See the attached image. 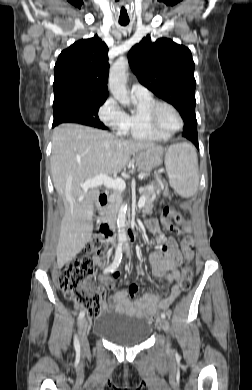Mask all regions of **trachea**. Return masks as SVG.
Returning <instances> with one entry per match:
<instances>
[{"label": "trachea", "mask_w": 252, "mask_h": 390, "mask_svg": "<svg viewBox=\"0 0 252 390\" xmlns=\"http://www.w3.org/2000/svg\"><path fill=\"white\" fill-rule=\"evenodd\" d=\"M119 23L123 26H126L129 23V19H119Z\"/></svg>", "instance_id": "trachea-1"}]
</instances>
